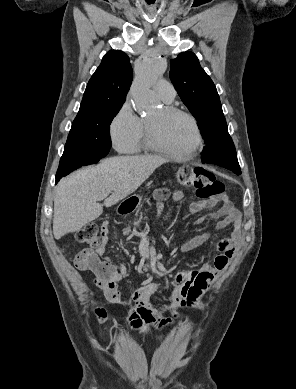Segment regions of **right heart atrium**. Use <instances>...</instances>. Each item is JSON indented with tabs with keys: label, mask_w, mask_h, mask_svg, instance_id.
Here are the masks:
<instances>
[{
	"label": "right heart atrium",
	"mask_w": 296,
	"mask_h": 389,
	"mask_svg": "<svg viewBox=\"0 0 296 389\" xmlns=\"http://www.w3.org/2000/svg\"><path fill=\"white\" fill-rule=\"evenodd\" d=\"M144 132L142 119L126 102L117 111L109 126L111 141L121 153H134L139 150Z\"/></svg>",
	"instance_id": "right-heart-atrium-1"
}]
</instances>
